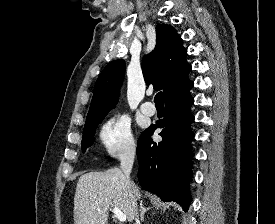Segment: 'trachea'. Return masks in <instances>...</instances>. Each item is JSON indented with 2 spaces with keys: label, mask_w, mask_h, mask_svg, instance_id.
<instances>
[{
  "label": "trachea",
  "mask_w": 275,
  "mask_h": 224,
  "mask_svg": "<svg viewBox=\"0 0 275 224\" xmlns=\"http://www.w3.org/2000/svg\"><path fill=\"white\" fill-rule=\"evenodd\" d=\"M156 106H164V96L162 92H158L154 98Z\"/></svg>",
  "instance_id": "1"
}]
</instances>
